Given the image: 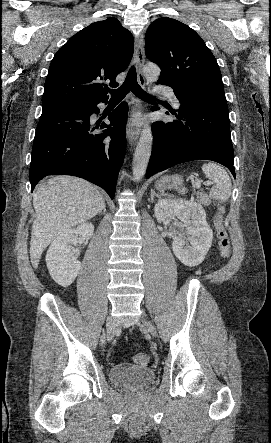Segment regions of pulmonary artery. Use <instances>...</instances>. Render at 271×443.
Returning <instances> with one entry per match:
<instances>
[{
    "label": "pulmonary artery",
    "mask_w": 271,
    "mask_h": 443,
    "mask_svg": "<svg viewBox=\"0 0 271 443\" xmlns=\"http://www.w3.org/2000/svg\"><path fill=\"white\" fill-rule=\"evenodd\" d=\"M163 94L170 100L175 108L179 107V100L172 89H167Z\"/></svg>",
    "instance_id": "1"
}]
</instances>
